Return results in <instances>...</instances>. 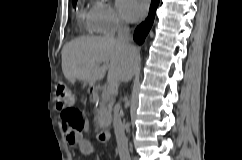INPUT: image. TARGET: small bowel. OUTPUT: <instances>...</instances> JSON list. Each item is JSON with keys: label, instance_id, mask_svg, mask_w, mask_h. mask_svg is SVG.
<instances>
[{"label": "small bowel", "instance_id": "small-bowel-1", "mask_svg": "<svg viewBox=\"0 0 242 160\" xmlns=\"http://www.w3.org/2000/svg\"><path fill=\"white\" fill-rule=\"evenodd\" d=\"M62 130L65 133L66 141L71 146H78L82 153L88 154L92 150V146L87 141L81 131H74L62 118Z\"/></svg>", "mask_w": 242, "mask_h": 160}]
</instances>
